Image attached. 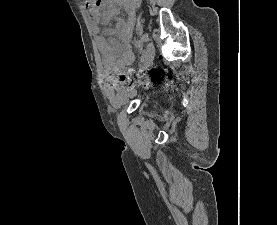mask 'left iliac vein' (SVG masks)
Segmentation results:
<instances>
[{
  "mask_svg": "<svg viewBox=\"0 0 277 225\" xmlns=\"http://www.w3.org/2000/svg\"><path fill=\"white\" fill-rule=\"evenodd\" d=\"M155 57V48L152 42H149L146 47L145 55H144V63L143 68L147 70L153 63Z\"/></svg>",
  "mask_w": 277,
  "mask_h": 225,
  "instance_id": "4c4485c4",
  "label": "left iliac vein"
}]
</instances>
